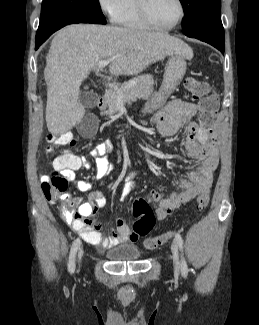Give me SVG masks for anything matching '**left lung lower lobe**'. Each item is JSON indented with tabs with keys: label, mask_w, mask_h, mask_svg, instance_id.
<instances>
[{
	"label": "left lung lower lobe",
	"mask_w": 259,
	"mask_h": 325,
	"mask_svg": "<svg viewBox=\"0 0 259 325\" xmlns=\"http://www.w3.org/2000/svg\"><path fill=\"white\" fill-rule=\"evenodd\" d=\"M185 35L207 42L224 53V29L221 21L206 23L194 32Z\"/></svg>",
	"instance_id": "0a47b994"
}]
</instances>
